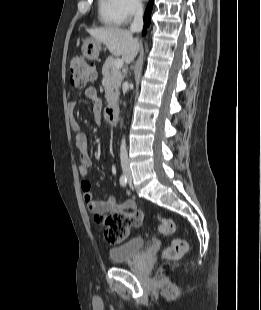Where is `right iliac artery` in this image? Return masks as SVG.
I'll list each match as a JSON object with an SVG mask.
<instances>
[{
	"label": "right iliac artery",
	"instance_id": "82829eb1",
	"mask_svg": "<svg viewBox=\"0 0 261 310\" xmlns=\"http://www.w3.org/2000/svg\"><path fill=\"white\" fill-rule=\"evenodd\" d=\"M120 184H121V186H123V187H125V186L127 185V178H126V176H125L124 174H122V175L120 176Z\"/></svg>",
	"mask_w": 261,
	"mask_h": 310
}]
</instances>
